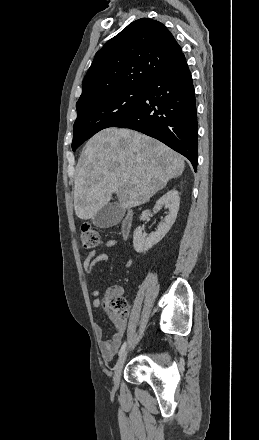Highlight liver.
<instances>
[{
    "mask_svg": "<svg viewBox=\"0 0 259 440\" xmlns=\"http://www.w3.org/2000/svg\"><path fill=\"white\" fill-rule=\"evenodd\" d=\"M184 167L181 155L152 137L130 129H104L88 140L78 161L75 213L90 219L113 194L124 210L145 204L170 179L181 176Z\"/></svg>",
    "mask_w": 259,
    "mask_h": 440,
    "instance_id": "6515ba94",
    "label": "liver"
}]
</instances>
